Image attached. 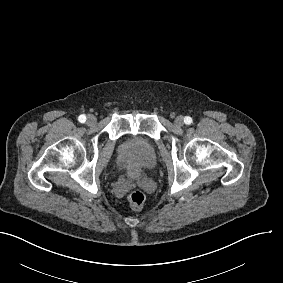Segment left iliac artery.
<instances>
[{"instance_id":"1","label":"left iliac artery","mask_w":283,"mask_h":283,"mask_svg":"<svg viewBox=\"0 0 283 283\" xmlns=\"http://www.w3.org/2000/svg\"><path fill=\"white\" fill-rule=\"evenodd\" d=\"M184 122H185V124H191L192 123V118L191 117H189V116H186L185 118H184Z\"/></svg>"}]
</instances>
